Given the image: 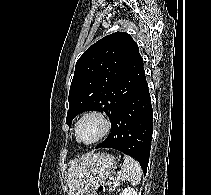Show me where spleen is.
<instances>
[{"mask_svg":"<svg viewBox=\"0 0 211 195\" xmlns=\"http://www.w3.org/2000/svg\"><path fill=\"white\" fill-rule=\"evenodd\" d=\"M142 169L140 164L131 158L124 155L123 169L118 172V177L122 180H127L133 185H137L141 181Z\"/></svg>","mask_w":211,"mask_h":195,"instance_id":"3e777b00","label":"spleen"}]
</instances>
